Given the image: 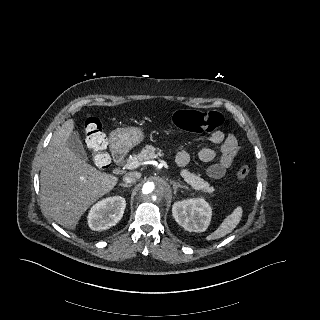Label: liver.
<instances>
[{"mask_svg": "<svg viewBox=\"0 0 320 320\" xmlns=\"http://www.w3.org/2000/svg\"><path fill=\"white\" fill-rule=\"evenodd\" d=\"M74 128L75 121L69 119L54 133L40 174L44 209L67 229H75L90 205L118 182V177L98 171L70 150L66 142Z\"/></svg>", "mask_w": 320, "mask_h": 320, "instance_id": "obj_1", "label": "liver"}]
</instances>
